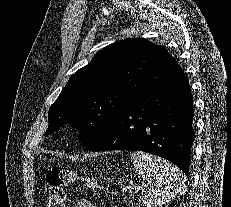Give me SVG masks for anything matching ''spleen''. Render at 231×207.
<instances>
[{"mask_svg": "<svg viewBox=\"0 0 231 207\" xmlns=\"http://www.w3.org/2000/svg\"><path fill=\"white\" fill-rule=\"evenodd\" d=\"M131 160L137 174L146 181L142 202L147 207H162L187 190L186 177L166 160L142 151L133 152Z\"/></svg>", "mask_w": 231, "mask_h": 207, "instance_id": "3e777b00", "label": "spleen"}]
</instances>
